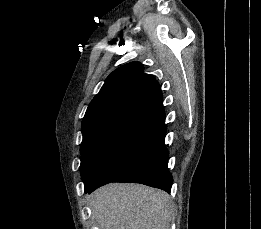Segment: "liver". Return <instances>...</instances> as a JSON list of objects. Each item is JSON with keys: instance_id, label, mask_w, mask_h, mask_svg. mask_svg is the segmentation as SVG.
Returning <instances> with one entry per match:
<instances>
[{"instance_id": "6515ba94", "label": "liver", "mask_w": 261, "mask_h": 229, "mask_svg": "<svg viewBox=\"0 0 261 229\" xmlns=\"http://www.w3.org/2000/svg\"><path fill=\"white\" fill-rule=\"evenodd\" d=\"M93 217L99 229H170V197L144 185L110 183L92 195Z\"/></svg>"}]
</instances>
